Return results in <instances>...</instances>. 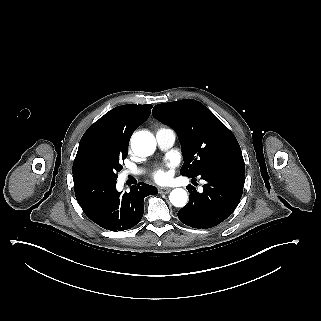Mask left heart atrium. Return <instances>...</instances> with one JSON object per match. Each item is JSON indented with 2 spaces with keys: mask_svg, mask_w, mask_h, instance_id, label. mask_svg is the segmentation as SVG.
Wrapping results in <instances>:
<instances>
[{
  "mask_svg": "<svg viewBox=\"0 0 321 321\" xmlns=\"http://www.w3.org/2000/svg\"><path fill=\"white\" fill-rule=\"evenodd\" d=\"M173 163L170 162L167 164V167L172 166ZM153 177L159 182H166L169 179V174L164 167H157L153 171Z\"/></svg>",
  "mask_w": 321,
  "mask_h": 321,
  "instance_id": "left-heart-atrium-1",
  "label": "left heart atrium"
}]
</instances>
